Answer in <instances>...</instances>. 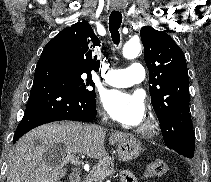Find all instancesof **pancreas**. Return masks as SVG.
<instances>
[{"mask_svg": "<svg viewBox=\"0 0 211 182\" xmlns=\"http://www.w3.org/2000/svg\"><path fill=\"white\" fill-rule=\"evenodd\" d=\"M113 160L114 157L108 155L100 159L82 182H102L107 176L106 173L113 170Z\"/></svg>", "mask_w": 211, "mask_h": 182, "instance_id": "cf45deb5", "label": "pancreas"}]
</instances>
